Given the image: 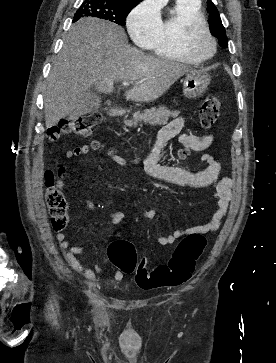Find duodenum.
Returning <instances> with one entry per match:
<instances>
[{
  "label": "duodenum",
  "mask_w": 276,
  "mask_h": 363,
  "mask_svg": "<svg viewBox=\"0 0 276 363\" xmlns=\"http://www.w3.org/2000/svg\"><path fill=\"white\" fill-rule=\"evenodd\" d=\"M108 115L111 117H120L124 115V111L119 107H111L108 109Z\"/></svg>",
  "instance_id": "410a0bca"
}]
</instances>
